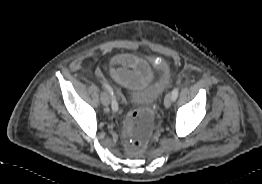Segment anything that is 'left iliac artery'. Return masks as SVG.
<instances>
[{"instance_id": "44dca946", "label": "left iliac artery", "mask_w": 262, "mask_h": 184, "mask_svg": "<svg viewBox=\"0 0 262 184\" xmlns=\"http://www.w3.org/2000/svg\"><path fill=\"white\" fill-rule=\"evenodd\" d=\"M178 93H179V89L178 88H174L172 91V99L173 101H175L178 97Z\"/></svg>"}]
</instances>
